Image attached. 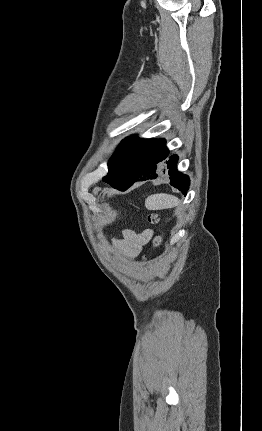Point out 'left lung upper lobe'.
Here are the masks:
<instances>
[{
  "instance_id": "left-lung-upper-lobe-1",
  "label": "left lung upper lobe",
  "mask_w": 262,
  "mask_h": 431,
  "mask_svg": "<svg viewBox=\"0 0 262 431\" xmlns=\"http://www.w3.org/2000/svg\"><path fill=\"white\" fill-rule=\"evenodd\" d=\"M150 140L137 139L135 136L127 137L117 148L108 162V173L103 181L117 188L127 183L131 177L130 165L139 150Z\"/></svg>"
}]
</instances>
